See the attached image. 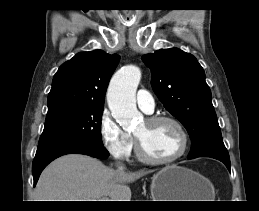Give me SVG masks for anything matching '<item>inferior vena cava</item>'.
Returning a JSON list of instances; mask_svg holds the SVG:
<instances>
[{
  "mask_svg": "<svg viewBox=\"0 0 259 211\" xmlns=\"http://www.w3.org/2000/svg\"><path fill=\"white\" fill-rule=\"evenodd\" d=\"M117 167H118V170H119V171H124L125 168H126L125 165H124L123 163H120V162L117 163Z\"/></svg>",
  "mask_w": 259,
  "mask_h": 211,
  "instance_id": "inferior-vena-cava-1",
  "label": "inferior vena cava"
}]
</instances>
